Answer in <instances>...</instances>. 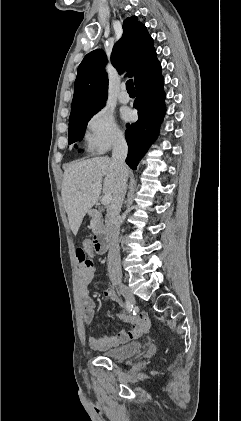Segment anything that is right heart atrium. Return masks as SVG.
Masks as SVG:
<instances>
[{"instance_id": "obj_1", "label": "right heart atrium", "mask_w": 241, "mask_h": 421, "mask_svg": "<svg viewBox=\"0 0 241 421\" xmlns=\"http://www.w3.org/2000/svg\"><path fill=\"white\" fill-rule=\"evenodd\" d=\"M85 139L91 152L102 154L123 142L124 134L111 113L99 110L86 123Z\"/></svg>"}]
</instances>
